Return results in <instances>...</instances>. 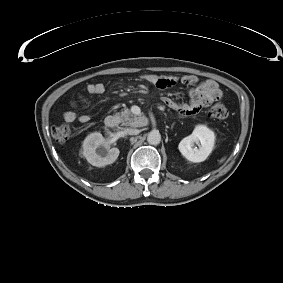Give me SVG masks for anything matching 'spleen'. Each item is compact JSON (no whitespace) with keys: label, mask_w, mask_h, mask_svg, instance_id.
Listing matches in <instances>:
<instances>
[{"label":"spleen","mask_w":283,"mask_h":283,"mask_svg":"<svg viewBox=\"0 0 283 283\" xmlns=\"http://www.w3.org/2000/svg\"><path fill=\"white\" fill-rule=\"evenodd\" d=\"M224 160H225V157H223V158L219 161V163H222Z\"/></svg>","instance_id":"obj_1"}]
</instances>
